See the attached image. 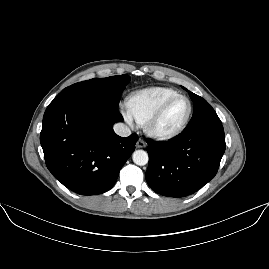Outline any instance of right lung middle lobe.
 <instances>
[{
	"mask_svg": "<svg viewBox=\"0 0 269 269\" xmlns=\"http://www.w3.org/2000/svg\"><path fill=\"white\" fill-rule=\"evenodd\" d=\"M129 81L130 76L126 74L107 78H93L68 86L60 94L87 96L118 106L121 93Z\"/></svg>",
	"mask_w": 269,
	"mask_h": 269,
	"instance_id": "dd1d6c3e",
	"label": "right lung middle lobe"
}]
</instances>
